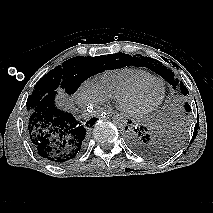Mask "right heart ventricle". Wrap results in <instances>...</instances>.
I'll list each match as a JSON object with an SVG mask.
<instances>
[{"label":"right heart ventricle","instance_id":"right-heart-ventricle-1","mask_svg":"<svg viewBox=\"0 0 213 213\" xmlns=\"http://www.w3.org/2000/svg\"><path fill=\"white\" fill-rule=\"evenodd\" d=\"M152 75L136 67H123L102 73L95 85L105 98L117 99L126 89L142 78Z\"/></svg>","mask_w":213,"mask_h":213}]
</instances>
